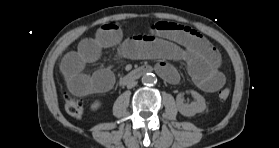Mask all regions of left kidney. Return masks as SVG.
<instances>
[{
	"mask_svg": "<svg viewBox=\"0 0 279 148\" xmlns=\"http://www.w3.org/2000/svg\"><path fill=\"white\" fill-rule=\"evenodd\" d=\"M195 101L190 104H185L183 102L182 94H178L176 98V104L178 111L186 117L194 116L197 113H201L206 109V102L202 95L196 91H190Z\"/></svg>",
	"mask_w": 279,
	"mask_h": 148,
	"instance_id": "5707ae66",
	"label": "left kidney"
}]
</instances>
